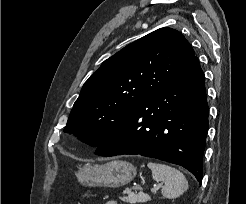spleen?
Instances as JSON below:
<instances>
[{"mask_svg":"<svg viewBox=\"0 0 246 204\" xmlns=\"http://www.w3.org/2000/svg\"><path fill=\"white\" fill-rule=\"evenodd\" d=\"M147 166L152 171L153 179L164 183L161 193L165 198L174 199L187 191L188 181L185 175L178 169L154 162H149Z\"/></svg>","mask_w":246,"mask_h":204,"instance_id":"1","label":"spleen"}]
</instances>
